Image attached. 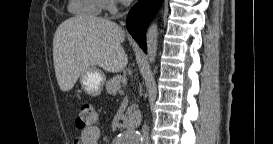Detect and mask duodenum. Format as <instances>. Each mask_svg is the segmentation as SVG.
<instances>
[{
  "label": "duodenum",
  "mask_w": 273,
  "mask_h": 144,
  "mask_svg": "<svg viewBox=\"0 0 273 144\" xmlns=\"http://www.w3.org/2000/svg\"><path fill=\"white\" fill-rule=\"evenodd\" d=\"M139 120V114L138 113H134V114H130L126 117L125 119V127L127 129H132L133 127H135L138 123Z\"/></svg>",
  "instance_id": "duodenum-1"
}]
</instances>
